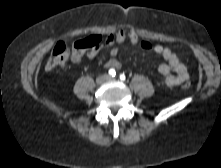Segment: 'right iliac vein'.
I'll use <instances>...</instances> for the list:
<instances>
[{
  "label": "right iliac vein",
  "instance_id": "obj_1",
  "mask_svg": "<svg viewBox=\"0 0 221 168\" xmlns=\"http://www.w3.org/2000/svg\"><path fill=\"white\" fill-rule=\"evenodd\" d=\"M107 79H108V76H107V75H101V76L97 77L96 83H97L98 85H101V84H103L105 81H107Z\"/></svg>",
  "mask_w": 221,
  "mask_h": 168
}]
</instances>
